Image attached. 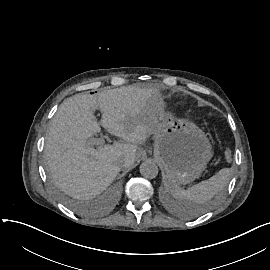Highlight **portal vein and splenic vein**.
<instances>
[{"instance_id":"18ae733b","label":"portal vein and splenic vein","mask_w":270,"mask_h":270,"mask_svg":"<svg viewBox=\"0 0 270 270\" xmlns=\"http://www.w3.org/2000/svg\"><path fill=\"white\" fill-rule=\"evenodd\" d=\"M106 126V125H105ZM97 144H96V147L98 148V149H103L104 147H105V144L103 143L104 142V139L102 138V137H99L98 139H97Z\"/></svg>"}]
</instances>
